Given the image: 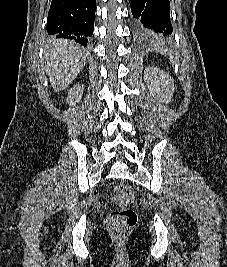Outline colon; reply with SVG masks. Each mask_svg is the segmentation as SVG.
Wrapping results in <instances>:
<instances>
[{
  "label": "colon",
  "instance_id": "1",
  "mask_svg": "<svg viewBox=\"0 0 227 267\" xmlns=\"http://www.w3.org/2000/svg\"><path fill=\"white\" fill-rule=\"evenodd\" d=\"M130 199L131 189L127 184L121 183L115 186L112 201L120 208L110 212L105 220V228L116 243H124L137 222L136 211L125 207Z\"/></svg>",
  "mask_w": 227,
  "mask_h": 267
}]
</instances>
